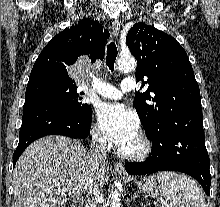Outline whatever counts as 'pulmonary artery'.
<instances>
[{"instance_id": "obj_1", "label": "pulmonary artery", "mask_w": 220, "mask_h": 207, "mask_svg": "<svg viewBox=\"0 0 220 207\" xmlns=\"http://www.w3.org/2000/svg\"><path fill=\"white\" fill-rule=\"evenodd\" d=\"M135 88V81L133 78H125L120 85L116 88L105 82H97L93 86V90L107 99H120L124 93L130 92Z\"/></svg>"}]
</instances>
